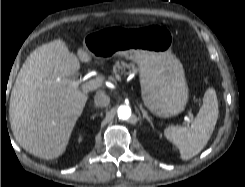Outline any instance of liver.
<instances>
[{"instance_id":"liver-1","label":"liver","mask_w":245,"mask_h":187,"mask_svg":"<svg viewBox=\"0 0 245 187\" xmlns=\"http://www.w3.org/2000/svg\"><path fill=\"white\" fill-rule=\"evenodd\" d=\"M92 54L78 49V57L61 39L36 48L22 65L9 102V119L18 144L30 154L45 160L61 156L68 145L88 92L100 88L104 76L79 88L65 82L89 63ZM60 82H56L57 79Z\"/></svg>"}]
</instances>
